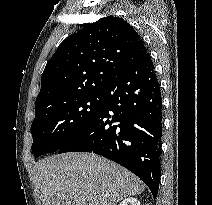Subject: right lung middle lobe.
<instances>
[{
    "instance_id": "right-lung-middle-lobe-1",
    "label": "right lung middle lobe",
    "mask_w": 212,
    "mask_h": 205,
    "mask_svg": "<svg viewBox=\"0 0 212 205\" xmlns=\"http://www.w3.org/2000/svg\"><path fill=\"white\" fill-rule=\"evenodd\" d=\"M101 93L83 96L59 105L35 117L31 131L35 157L58 151L98 112Z\"/></svg>"
}]
</instances>
